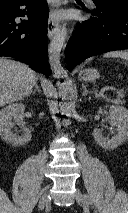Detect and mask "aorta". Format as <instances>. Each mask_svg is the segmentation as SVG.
I'll return each instance as SVG.
<instances>
[{"label": "aorta", "instance_id": "1", "mask_svg": "<svg viewBox=\"0 0 128 213\" xmlns=\"http://www.w3.org/2000/svg\"><path fill=\"white\" fill-rule=\"evenodd\" d=\"M66 35V28L63 27L62 29L58 30L54 34V37L52 38L48 47V62L54 77L57 79L67 77V72L62 67L60 62V52L64 45ZM58 95L61 99L59 103L61 115L70 117L75 113V103L73 102L74 89L72 83L70 81H65L59 84ZM64 123L65 125H69L70 121L66 119L64 120Z\"/></svg>", "mask_w": 128, "mask_h": 213}]
</instances>
